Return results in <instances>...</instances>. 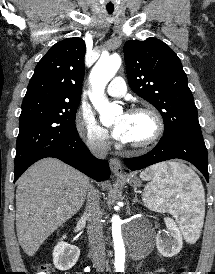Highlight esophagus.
Here are the masks:
<instances>
[{
  "instance_id": "esophagus-1",
  "label": "esophagus",
  "mask_w": 215,
  "mask_h": 274,
  "mask_svg": "<svg viewBox=\"0 0 215 274\" xmlns=\"http://www.w3.org/2000/svg\"><path fill=\"white\" fill-rule=\"evenodd\" d=\"M110 169L116 176H122L123 170L121 161L118 158H111L109 161Z\"/></svg>"
}]
</instances>
